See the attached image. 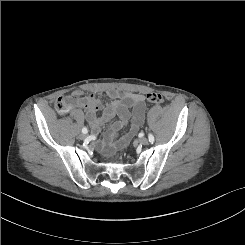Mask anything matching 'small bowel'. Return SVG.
<instances>
[{
	"label": "small bowel",
	"mask_w": 245,
	"mask_h": 245,
	"mask_svg": "<svg viewBox=\"0 0 245 245\" xmlns=\"http://www.w3.org/2000/svg\"><path fill=\"white\" fill-rule=\"evenodd\" d=\"M106 94L112 99V102L105 107L100 117L97 115L99 100L94 94L84 97V102L80 106L86 111V119L91 125L94 135L99 133L102 125L112 120L115 116L118 117V120L112 124L110 131L99 145L100 148L108 150L113 149L116 146L125 145L138 131L144 121L146 106L143 95L138 93L119 89H108ZM129 121L131 123L129 134L124 140L115 144L113 140L116 133Z\"/></svg>",
	"instance_id": "small-bowel-1"
}]
</instances>
